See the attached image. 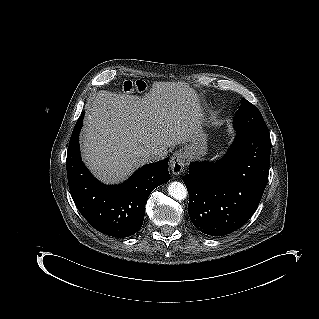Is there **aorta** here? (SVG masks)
I'll use <instances>...</instances> for the list:
<instances>
[{
    "instance_id": "obj_1",
    "label": "aorta",
    "mask_w": 319,
    "mask_h": 319,
    "mask_svg": "<svg viewBox=\"0 0 319 319\" xmlns=\"http://www.w3.org/2000/svg\"><path fill=\"white\" fill-rule=\"evenodd\" d=\"M168 193L176 200H184L188 195L185 185L180 182L170 183L168 186Z\"/></svg>"
}]
</instances>
